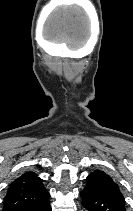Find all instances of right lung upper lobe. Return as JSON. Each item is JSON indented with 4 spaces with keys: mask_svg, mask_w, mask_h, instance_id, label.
<instances>
[{
    "mask_svg": "<svg viewBox=\"0 0 133 211\" xmlns=\"http://www.w3.org/2000/svg\"><path fill=\"white\" fill-rule=\"evenodd\" d=\"M49 192L34 172H26L14 180L6 193L2 211H23L42 202Z\"/></svg>",
    "mask_w": 133,
    "mask_h": 211,
    "instance_id": "cb5924a9",
    "label": "right lung upper lobe"
}]
</instances>
